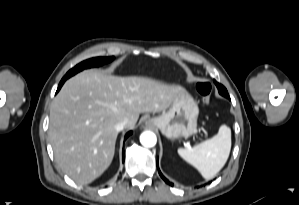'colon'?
I'll return each instance as SVG.
<instances>
[{
	"mask_svg": "<svg viewBox=\"0 0 299 205\" xmlns=\"http://www.w3.org/2000/svg\"><path fill=\"white\" fill-rule=\"evenodd\" d=\"M211 84L206 81H201L197 84V91L202 97L203 103L209 105L210 103V94H211Z\"/></svg>",
	"mask_w": 299,
	"mask_h": 205,
	"instance_id": "colon-1",
	"label": "colon"
}]
</instances>
